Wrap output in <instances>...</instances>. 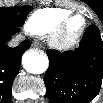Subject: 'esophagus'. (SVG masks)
<instances>
[{"label": "esophagus", "mask_w": 103, "mask_h": 103, "mask_svg": "<svg viewBox=\"0 0 103 103\" xmlns=\"http://www.w3.org/2000/svg\"><path fill=\"white\" fill-rule=\"evenodd\" d=\"M32 46L34 47V48H40V43H38V42H33V44H32Z\"/></svg>", "instance_id": "34e87169"}]
</instances>
